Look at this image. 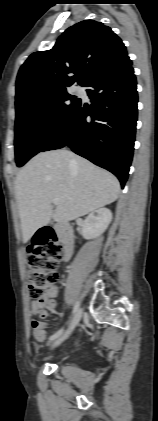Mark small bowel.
<instances>
[{
	"instance_id": "small-bowel-1",
	"label": "small bowel",
	"mask_w": 158,
	"mask_h": 421,
	"mask_svg": "<svg viewBox=\"0 0 158 421\" xmlns=\"http://www.w3.org/2000/svg\"><path fill=\"white\" fill-rule=\"evenodd\" d=\"M54 303L53 301L47 300V301H39V302H33L31 304V314L33 316H37L40 319H45L48 316V312L46 308H53ZM31 327L33 330L34 338L42 343L47 338V324L41 320L33 319L31 322Z\"/></svg>"
}]
</instances>
